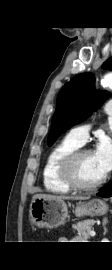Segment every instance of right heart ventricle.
<instances>
[{
	"label": "right heart ventricle",
	"instance_id": "e07e8e85",
	"mask_svg": "<svg viewBox=\"0 0 112 270\" xmlns=\"http://www.w3.org/2000/svg\"><path fill=\"white\" fill-rule=\"evenodd\" d=\"M80 146L68 135L51 149L42 171L43 184L47 191L55 194H67L71 191L60 178L59 164L66 154Z\"/></svg>",
	"mask_w": 112,
	"mask_h": 270
}]
</instances>
